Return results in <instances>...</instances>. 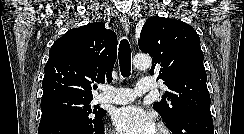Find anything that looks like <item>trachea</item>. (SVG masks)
Returning a JSON list of instances; mask_svg holds the SVG:
<instances>
[{
    "label": "trachea",
    "mask_w": 244,
    "mask_h": 134,
    "mask_svg": "<svg viewBox=\"0 0 244 134\" xmlns=\"http://www.w3.org/2000/svg\"><path fill=\"white\" fill-rule=\"evenodd\" d=\"M118 58L122 76L129 77L131 74V49L127 39L120 41Z\"/></svg>",
    "instance_id": "1"
}]
</instances>
